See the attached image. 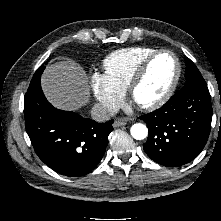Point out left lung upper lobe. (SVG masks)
<instances>
[{"mask_svg":"<svg viewBox=\"0 0 221 221\" xmlns=\"http://www.w3.org/2000/svg\"><path fill=\"white\" fill-rule=\"evenodd\" d=\"M185 62H186V70H185L186 84L183 88L206 85L201 73L199 72L195 64L189 58H186Z\"/></svg>","mask_w":221,"mask_h":221,"instance_id":"5c2ea615","label":"left lung upper lobe"}]
</instances>
